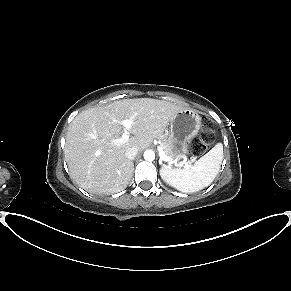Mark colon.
Instances as JSON below:
<instances>
[{
	"mask_svg": "<svg viewBox=\"0 0 291 291\" xmlns=\"http://www.w3.org/2000/svg\"><path fill=\"white\" fill-rule=\"evenodd\" d=\"M214 123L211 121H204L202 131L198 138H194L189 142L188 149L193 155H200L204 153L207 147L212 142V133L214 132Z\"/></svg>",
	"mask_w": 291,
	"mask_h": 291,
	"instance_id": "obj_1",
	"label": "colon"
}]
</instances>
